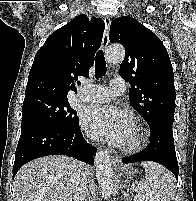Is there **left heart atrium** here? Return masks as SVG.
Wrapping results in <instances>:
<instances>
[{
  "label": "left heart atrium",
  "instance_id": "obj_1",
  "mask_svg": "<svg viewBox=\"0 0 196 201\" xmlns=\"http://www.w3.org/2000/svg\"><path fill=\"white\" fill-rule=\"evenodd\" d=\"M82 125L94 139L125 145L134 127L132 115L112 105H92L82 114Z\"/></svg>",
  "mask_w": 196,
  "mask_h": 201
}]
</instances>
